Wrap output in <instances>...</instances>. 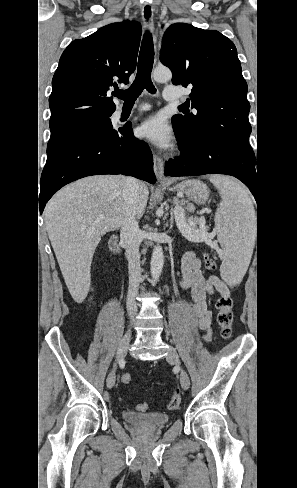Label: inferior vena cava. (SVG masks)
Returning <instances> with one entry per match:
<instances>
[{
  "label": "inferior vena cava",
  "instance_id": "1",
  "mask_svg": "<svg viewBox=\"0 0 297 488\" xmlns=\"http://www.w3.org/2000/svg\"><path fill=\"white\" fill-rule=\"evenodd\" d=\"M141 186L137 179L128 177L123 190L125 215L121 224L120 239L126 250L128 260L129 287L126 308L129 316H135L137 313L135 297L142 280L139 246L143 239V233L139 229L135 216L136 199Z\"/></svg>",
  "mask_w": 297,
  "mask_h": 488
}]
</instances>
